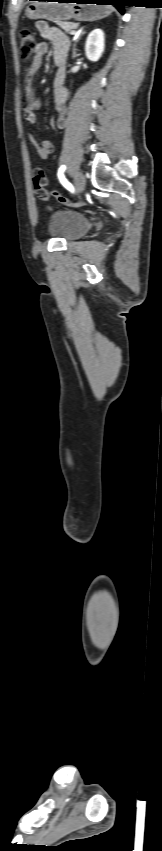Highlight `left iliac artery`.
<instances>
[{"instance_id":"1","label":"left iliac artery","mask_w":162,"mask_h":851,"mask_svg":"<svg viewBox=\"0 0 162 851\" xmlns=\"http://www.w3.org/2000/svg\"><path fill=\"white\" fill-rule=\"evenodd\" d=\"M65 169H66V166H65V165H62V166L59 168V171H58V178H59V180H60L61 184H62V185H63L66 189H68L70 192H74V188H73V186H72V185H71V184H70V183L66 180V178H65V176H64V174H63V173H64V171H65Z\"/></svg>"}]
</instances>
